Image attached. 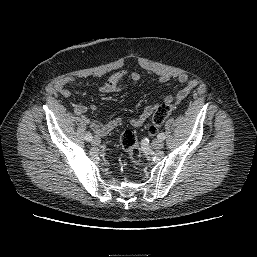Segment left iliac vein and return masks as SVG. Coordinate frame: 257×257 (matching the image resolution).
<instances>
[{
  "mask_svg": "<svg viewBox=\"0 0 257 257\" xmlns=\"http://www.w3.org/2000/svg\"><path fill=\"white\" fill-rule=\"evenodd\" d=\"M164 143L160 140V139H156L152 142V148L159 150L161 148H163Z\"/></svg>",
  "mask_w": 257,
  "mask_h": 257,
  "instance_id": "1",
  "label": "left iliac vein"
}]
</instances>
